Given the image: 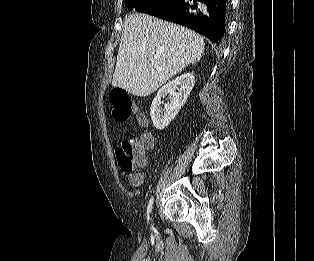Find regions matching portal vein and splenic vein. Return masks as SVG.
Segmentation results:
<instances>
[{"label": "portal vein and splenic vein", "instance_id": "portal-vein-and-splenic-vein-1", "mask_svg": "<svg viewBox=\"0 0 314 261\" xmlns=\"http://www.w3.org/2000/svg\"><path fill=\"white\" fill-rule=\"evenodd\" d=\"M157 70H158V71H162V69H161V68H157Z\"/></svg>", "mask_w": 314, "mask_h": 261}]
</instances>
